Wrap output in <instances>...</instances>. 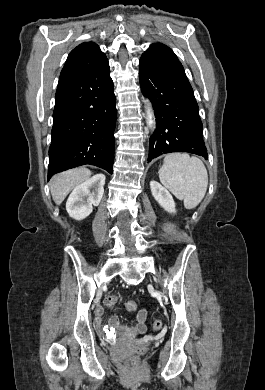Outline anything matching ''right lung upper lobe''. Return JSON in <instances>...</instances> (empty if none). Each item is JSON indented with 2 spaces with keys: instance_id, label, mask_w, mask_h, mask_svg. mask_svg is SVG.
Wrapping results in <instances>:
<instances>
[{
  "instance_id": "1",
  "label": "right lung upper lobe",
  "mask_w": 265,
  "mask_h": 390,
  "mask_svg": "<svg viewBox=\"0 0 265 390\" xmlns=\"http://www.w3.org/2000/svg\"><path fill=\"white\" fill-rule=\"evenodd\" d=\"M107 62L106 55L93 42L75 47L69 54L61 71L59 83L78 78Z\"/></svg>"
}]
</instances>
